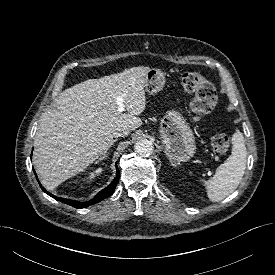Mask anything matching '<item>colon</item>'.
<instances>
[{"instance_id": "5ec220e1", "label": "colon", "mask_w": 275, "mask_h": 275, "mask_svg": "<svg viewBox=\"0 0 275 275\" xmlns=\"http://www.w3.org/2000/svg\"><path fill=\"white\" fill-rule=\"evenodd\" d=\"M181 83L185 90L194 94L190 104L194 119L212 111L216 104V92L210 82L196 72H185L181 76ZM212 147L217 153H225L229 148V138L225 134H218L212 138Z\"/></svg>"}]
</instances>
